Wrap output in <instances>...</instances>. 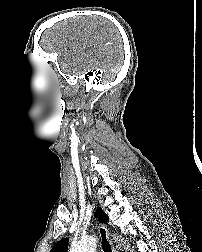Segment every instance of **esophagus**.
I'll list each match as a JSON object with an SVG mask.
<instances>
[{
    "mask_svg": "<svg viewBox=\"0 0 202 252\" xmlns=\"http://www.w3.org/2000/svg\"><path fill=\"white\" fill-rule=\"evenodd\" d=\"M99 238H100V246L102 252H117L113 246V243L109 236V229L104 224H98L97 226Z\"/></svg>",
    "mask_w": 202,
    "mask_h": 252,
    "instance_id": "esophagus-1",
    "label": "esophagus"
}]
</instances>
